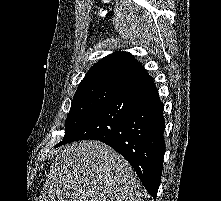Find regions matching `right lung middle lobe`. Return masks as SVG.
<instances>
[{
    "label": "right lung middle lobe",
    "mask_w": 221,
    "mask_h": 201,
    "mask_svg": "<svg viewBox=\"0 0 221 201\" xmlns=\"http://www.w3.org/2000/svg\"><path fill=\"white\" fill-rule=\"evenodd\" d=\"M118 90L111 87L77 89L65 122V136L62 142L70 138Z\"/></svg>",
    "instance_id": "right-lung-middle-lobe-1"
}]
</instances>
